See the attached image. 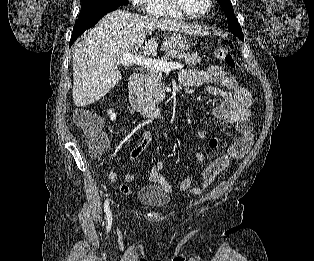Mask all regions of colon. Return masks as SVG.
<instances>
[{
  "label": "colon",
  "instance_id": "obj_1",
  "mask_svg": "<svg viewBox=\"0 0 314 261\" xmlns=\"http://www.w3.org/2000/svg\"><path fill=\"white\" fill-rule=\"evenodd\" d=\"M233 44L220 47L216 50V57L229 67L236 66V59L233 54ZM74 121L81 128L83 137L88 144L92 155H100L108 146V139L100 129L101 118L94 112L87 109H77L74 112ZM218 146L216 138L211 139L210 147L215 149Z\"/></svg>",
  "mask_w": 314,
  "mask_h": 261
}]
</instances>
